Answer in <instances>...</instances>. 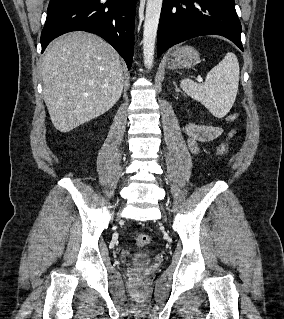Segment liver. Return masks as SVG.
<instances>
[{
    "instance_id": "6515ba94",
    "label": "liver",
    "mask_w": 284,
    "mask_h": 319,
    "mask_svg": "<svg viewBox=\"0 0 284 319\" xmlns=\"http://www.w3.org/2000/svg\"><path fill=\"white\" fill-rule=\"evenodd\" d=\"M41 73L44 101L60 132L104 114L123 90L119 54L105 40L87 32H71L52 41Z\"/></svg>"
}]
</instances>
